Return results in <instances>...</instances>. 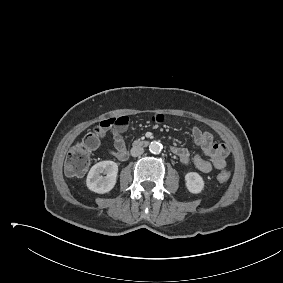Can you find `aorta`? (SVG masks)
<instances>
[{
  "instance_id": "aorta-1",
  "label": "aorta",
  "mask_w": 283,
  "mask_h": 283,
  "mask_svg": "<svg viewBox=\"0 0 283 283\" xmlns=\"http://www.w3.org/2000/svg\"><path fill=\"white\" fill-rule=\"evenodd\" d=\"M163 149V146L160 142L158 141H153L149 145V150L153 154H159Z\"/></svg>"
}]
</instances>
